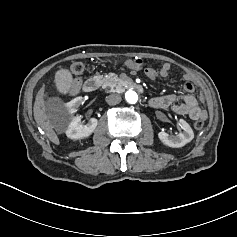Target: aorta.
<instances>
[{"label": "aorta", "mask_w": 237, "mask_h": 237, "mask_svg": "<svg viewBox=\"0 0 237 237\" xmlns=\"http://www.w3.org/2000/svg\"><path fill=\"white\" fill-rule=\"evenodd\" d=\"M125 99L130 104H135L138 101V96L134 91H127L125 93Z\"/></svg>", "instance_id": "1"}]
</instances>
